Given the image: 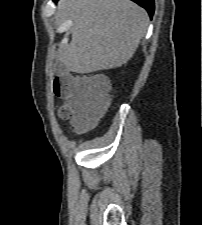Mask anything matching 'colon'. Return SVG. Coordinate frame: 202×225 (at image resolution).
<instances>
[{
	"label": "colon",
	"mask_w": 202,
	"mask_h": 225,
	"mask_svg": "<svg viewBox=\"0 0 202 225\" xmlns=\"http://www.w3.org/2000/svg\"><path fill=\"white\" fill-rule=\"evenodd\" d=\"M54 90L59 95L70 93L83 97L89 114L92 116L102 113L110 103V85L91 76L57 77ZM58 115L61 119L67 120L71 118L72 111L67 106H61Z\"/></svg>",
	"instance_id": "1"
}]
</instances>
